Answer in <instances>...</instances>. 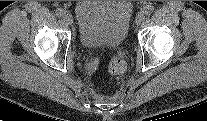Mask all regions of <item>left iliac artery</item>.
Returning a JSON list of instances; mask_svg holds the SVG:
<instances>
[{
	"instance_id": "44dca946",
	"label": "left iliac artery",
	"mask_w": 207,
	"mask_h": 121,
	"mask_svg": "<svg viewBox=\"0 0 207 121\" xmlns=\"http://www.w3.org/2000/svg\"><path fill=\"white\" fill-rule=\"evenodd\" d=\"M153 11H154V7L151 6V5H148V6L144 7V9H143L142 12H143L145 15H150Z\"/></svg>"
}]
</instances>
